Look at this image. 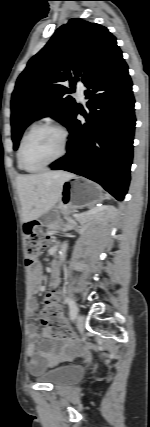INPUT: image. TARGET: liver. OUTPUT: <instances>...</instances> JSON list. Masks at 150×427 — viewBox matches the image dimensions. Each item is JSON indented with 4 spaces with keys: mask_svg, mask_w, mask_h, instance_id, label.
Segmentation results:
<instances>
[{
    "mask_svg": "<svg viewBox=\"0 0 150 427\" xmlns=\"http://www.w3.org/2000/svg\"><path fill=\"white\" fill-rule=\"evenodd\" d=\"M73 177L63 171L19 176L16 183L23 221L38 219L50 211L60 199L64 182Z\"/></svg>",
    "mask_w": 150,
    "mask_h": 427,
    "instance_id": "obj_1",
    "label": "liver"
}]
</instances>
